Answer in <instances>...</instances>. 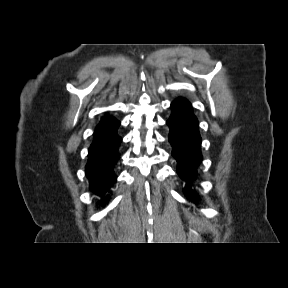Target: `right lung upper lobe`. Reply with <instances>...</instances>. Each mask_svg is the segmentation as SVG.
I'll return each instance as SVG.
<instances>
[{
  "instance_id": "obj_1",
  "label": "right lung upper lobe",
  "mask_w": 288,
  "mask_h": 288,
  "mask_svg": "<svg viewBox=\"0 0 288 288\" xmlns=\"http://www.w3.org/2000/svg\"><path fill=\"white\" fill-rule=\"evenodd\" d=\"M115 118L106 115L97 126L94 132V141H100L110 136L120 125Z\"/></svg>"
}]
</instances>
